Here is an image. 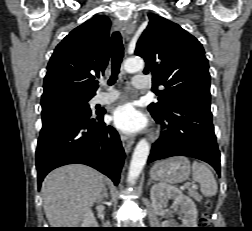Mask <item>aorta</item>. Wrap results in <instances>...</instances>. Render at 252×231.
Returning a JSON list of instances; mask_svg holds the SVG:
<instances>
[{"label": "aorta", "instance_id": "762f6f07", "mask_svg": "<svg viewBox=\"0 0 252 231\" xmlns=\"http://www.w3.org/2000/svg\"><path fill=\"white\" fill-rule=\"evenodd\" d=\"M145 63L141 58H129L124 62L123 68L127 73H134L142 71ZM150 152V145L146 139L140 140L133 152L129 173L128 183L135 184L136 179L139 177Z\"/></svg>", "mask_w": 252, "mask_h": 231}]
</instances>
